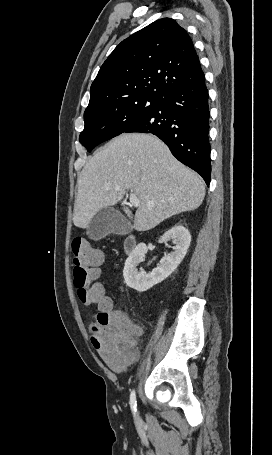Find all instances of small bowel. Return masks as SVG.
<instances>
[{
	"mask_svg": "<svg viewBox=\"0 0 272 455\" xmlns=\"http://www.w3.org/2000/svg\"><path fill=\"white\" fill-rule=\"evenodd\" d=\"M112 312H113L114 314L123 316V315L121 314V312H119V311H112Z\"/></svg>",
	"mask_w": 272,
	"mask_h": 455,
	"instance_id": "1",
	"label": "small bowel"
}]
</instances>
